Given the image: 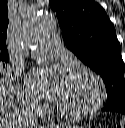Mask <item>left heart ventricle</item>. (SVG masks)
<instances>
[{
	"mask_svg": "<svg viewBox=\"0 0 125 128\" xmlns=\"http://www.w3.org/2000/svg\"><path fill=\"white\" fill-rule=\"evenodd\" d=\"M97 87L85 75H68L57 104L68 111H78L90 106L96 99Z\"/></svg>",
	"mask_w": 125,
	"mask_h": 128,
	"instance_id": "1",
	"label": "left heart ventricle"
}]
</instances>
